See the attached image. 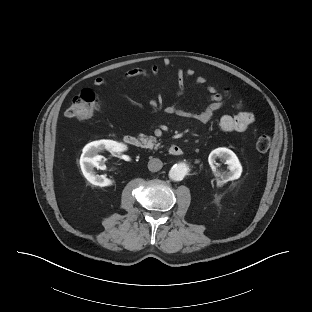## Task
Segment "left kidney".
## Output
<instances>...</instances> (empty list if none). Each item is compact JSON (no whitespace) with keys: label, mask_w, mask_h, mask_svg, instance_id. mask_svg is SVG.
<instances>
[{"label":"left kidney","mask_w":312,"mask_h":312,"mask_svg":"<svg viewBox=\"0 0 312 312\" xmlns=\"http://www.w3.org/2000/svg\"><path fill=\"white\" fill-rule=\"evenodd\" d=\"M217 158H220L225 162V164L228 165L229 169L228 172H219L216 169V166L214 164ZM208 161L215 177L222 183L238 179L241 176L242 173L241 163L236 154L230 149L224 147L214 149L209 154Z\"/></svg>","instance_id":"obj_1"}]
</instances>
